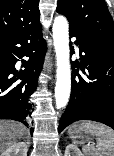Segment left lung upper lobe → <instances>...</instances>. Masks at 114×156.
Segmentation results:
<instances>
[{
    "label": "left lung upper lobe",
    "instance_id": "obj_1",
    "mask_svg": "<svg viewBox=\"0 0 114 156\" xmlns=\"http://www.w3.org/2000/svg\"><path fill=\"white\" fill-rule=\"evenodd\" d=\"M56 10L67 17L70 30L114 52V23L104 0H58Z\"/></svg>",
    "mask_w": 114,
    "mask_h": 156
}]
</instances>
